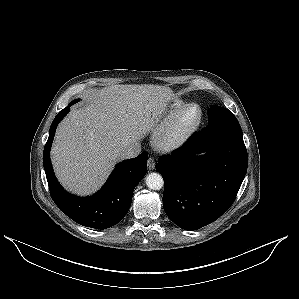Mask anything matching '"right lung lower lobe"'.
I'll list each match as a JSON object with an SVG mask.
<instances>
[{"instance_id": "98d812e1", "label": "right lung lower lobe", "mask_w": 299, "mask_h": 299, "mask_svg": "<svg viewBox=\"0 0 299 299\" xmlns=\"http://www.w3.org/2000/svg\"><path fill=\"white\" fill-rule=\"evenodd\" d=\"M70 103L53 120L44 147L43 165L51 197L55 204L72 220L93 229H107L120 222L128 212L133 190L147 171V152L125 160L115 167L104 186L91 197H76L67 193L57 181L49 153L55 130L61 119L70 111Z\"/></svg>"}]
</instances>
